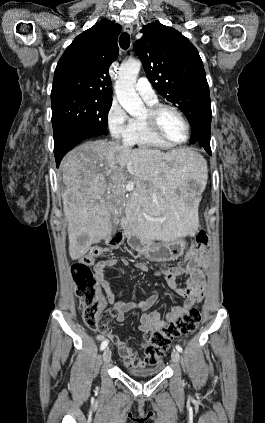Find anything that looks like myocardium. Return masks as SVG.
Masks as SVG:
<instances>
[{"label": "myocardium", "instance_id": "obj_1", "mask_svg": "<svg viewBox=\"0 0 265 423\" xmlns=\"http://www.w3.org/2000/svg\"><path fill=\"white\" fill-rule=\"evenodd\" d=\"M165 110H170L174 112L176 115L179 116V118L182 120V122L185 125L186 128V137L184 140L180 142L172 141L169 139L161 130L160 124H159V117L161 113ZM146 125L148 126L149 130L152 132V134L157 137L162 142L171 145V146H180L188 142L191 134V125L184 115V113L177 107L170 105V104H155L147 110V113L145 117L143 118Z\"/></svg>", "mask_w": 265, "mask_h": 423}]
</instances>
